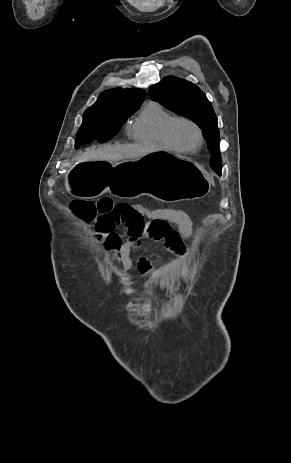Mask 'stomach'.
Segmentation results:
<instances>
[{
    "mask_svg": "<svg viewBox=\"0 0 291 463\" xmlns=\"http://www.w3.org/2000/svg\"><path fill=\"white\" fill-rule=\"evenodd\" d=\"M73 196L96 198L105 192L119 198L149 195L162 202L202 198L210 178L196 162L175 153L156 151L138 159L113 162L112 157L76 165L66 179Z\"/></svg>",
    "mask_w": 291,
    "mask_h": 463,
    "instance_id": "obj_1",
    "label": "stomach"
}]
</instances>
